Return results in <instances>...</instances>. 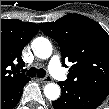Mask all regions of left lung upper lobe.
Here are the masks:
<instances>
[{
    "label": "left lung upper lobe",
    "instance_id": "1",
    "mask_svg": "<svg viewBox=\"0 0 109 109\" xmlns=\"http://www.w3.org/2000/svg\"><path fill=\"white\" fill-rule=\"evenodd\" d=\"M60 45L62 64L73 63L67 81L109 94V35L94 20L68 14L55 22L39 24Z\"/></svg>",
    "mask_w": 109,
    "mask_h": 109
}]
</instances>
